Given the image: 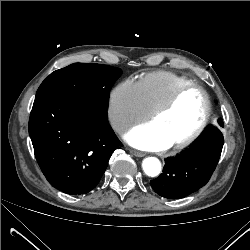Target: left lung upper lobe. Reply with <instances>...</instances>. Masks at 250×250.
<instances>
[{"label":"left lung upper lobe","mask_w":250,"mask_h":250,"mask_svg":"<svg viewBox=\"0 0 250 250\" xmlns=\"http://www.w3.org/2000/svg\"><path fill=\"white\" fill-rule=\"evenodd\" d=\"M218 123H219L220 126H223V123H222L221 120H219Z\"/></svg>","instance_id":"obj_1"}]
</instances>
